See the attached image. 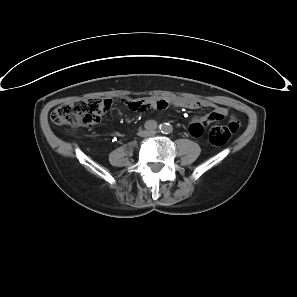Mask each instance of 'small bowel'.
<instances>
[{
    "mask_svg": "<svg viewBox=\"0 0 297 297\" xmlns=\"http://www.w3.org/2000/svg\"><path fill=\"white\" fill-rule=\"evenodd\" d=\"M126 105L134 111H144L146 109L163 110L169 106H175L186 109H200L205 107H213L214 105L206 100L192 99V98H177L171 100H154V99H140V100H128ZM229 111L225 107L216 106L215 110L204 116L195 117L190 126L189 133L193 137H199L203 134L204 129L210 123L220 121L228 115Z\"/></svg>",
    "mask_w": 297,
    "mask_h": 297,
    "instance_id": "c3829d8e",
    "label": "small bowel"
}]
</instances>
